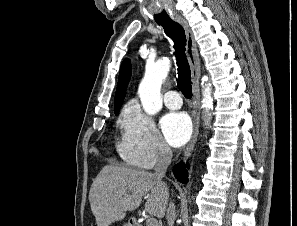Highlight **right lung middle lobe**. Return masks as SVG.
Returning a JSON list of instances; mask_svg holds the SVG:
<instances>
[{
	"mask_svg": "<svg viewBox=\"0 0 297 226\" xmlns=\"http://www.w3.org/2000/svg\"><path fill=\"white\" fill-rule=\"evenodd\" d=\"M119 110H120V107L115 108V114H117L119 112Z\"/></svg>",
	"mask_w": 297,
	"mask_h": 226,
	"instance_id": "1",
	"label": "right lung middle lobe"
}]
</instances>
